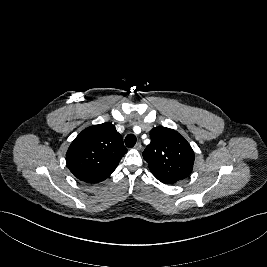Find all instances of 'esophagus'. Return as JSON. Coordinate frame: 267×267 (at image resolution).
I'll list each match as a JSON object with an SVG mask.
<instances>
[{
    "instance_id": "esophagus-1",
    "label": "esophagus",
    "mask_w": 267,
    "mask_h": 267,
    "mask_svg": "<svg viewBox=\"0 0 267 267\" xmlns=\"http://www.w3.org/2000/svg\"><path fill=\"white\" fill-rule=\"evenodd\" d=\"M135 149L140 150L142 148V144L140 142L136 143L134 146Z\"/></svg>"
}]
</instances>
